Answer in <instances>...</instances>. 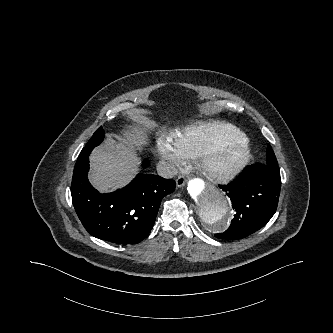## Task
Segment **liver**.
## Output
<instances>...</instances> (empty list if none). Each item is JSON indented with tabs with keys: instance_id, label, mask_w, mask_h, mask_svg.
I'll list each match as a JSON object with an SVG mask.
<instances>
[{
	"instance_id": "1",
	"label": "liver",
	"mask_w": 333,
	"mask_h": 333,
	"mask_svg": "<svg viewBox=\"0 0 333 333\" xmlns=\"http://www.w3.org/2000/svg\"><path fill=\"white\" fill-rule=\"evenodd\" d=\"M140 119L147 123L144 117ZM137 131H125L122 135L108 134L102 146L90 156L89 181L101 192H109L127 185L138 171L139 159L133 144L143 138Z\"/></svg>"
}]
</instances>
